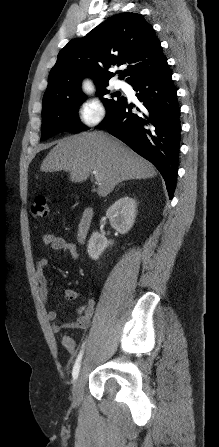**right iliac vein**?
<instances>
[{"label":"right iliac vein","mask_w":219,"mask_h":447,"mask_svg":"<svg viewBox=\"0 0 219 447\" xmlns=\"http://www.w3.org/2000/svg\"><path fill=\"white\" fill-rule=\"evenodd\" d=\"M84 372L81 371L74 383L72 395H73V404L75 406H79L82 402V392L84 387Z\"/></svg>","instance_id":"1"}]
</instances>
